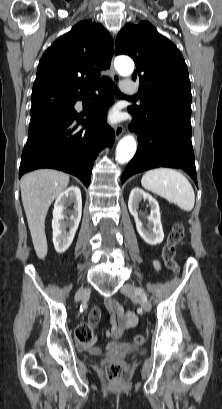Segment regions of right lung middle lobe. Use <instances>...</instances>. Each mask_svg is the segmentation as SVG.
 <instances>
[{
  "label": "right lung middle lobe",
  "mask_w": 222,
  "mask_h": 409,
  "mask_svg": "<svg viewBox=\"0 0 222 409\" xmlns=\"http://www.w3.org/2000/svg\"><path fill=\"white\" fill-rule=\"evenodd\" d=\"M51 106H47V105H41V106H36V107H31V116L40 114L44 111H46L48 108H50Z\"/></svg>",
  "instance_id": "right-lung-middle-lobe-1"
}]
</instances>
